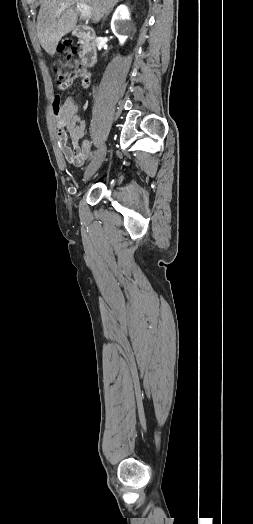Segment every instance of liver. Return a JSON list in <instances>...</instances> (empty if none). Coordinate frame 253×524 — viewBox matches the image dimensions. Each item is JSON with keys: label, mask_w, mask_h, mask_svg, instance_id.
I'll use <instances>...</instances> for the list:
<instances>
[{"label": "liver", "mask_w": 253, "mask_h": 524, "mask_svg": "<svg viewBox=\"0 0 253 524\" xmlns=\"http://www.w3.org/2000/svg\"><path fill=\"white\" fill-rule=\"evenodd\" d=\"M120 0H41L37 17V36L42 48L50 55L55 54L61 38L77 24L78 9L76 3L88 5L93 23L102 17ZM62 5H68L61 10Z\"/></svg>", "instance_id": "obj_1"}]
</instances>
